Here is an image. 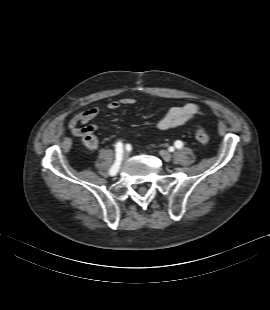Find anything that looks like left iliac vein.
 Instances as JSON below:
<instances>
[{"label":"left iliac vein","instance_id":"1","mask_svg":"<svg viewBox=\"0 0 270 310\" xmlns=\"http://www.w3.org/2000/svg\"><path fill=\"white\" fill-rule=\"evenodd\" d=\"M160 155L166 162H169L171 160V154L166 150L160 151Z\"/></svg>","mask_w":270,"mask_h":310}]
</instances>
